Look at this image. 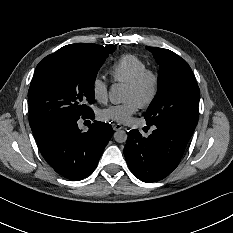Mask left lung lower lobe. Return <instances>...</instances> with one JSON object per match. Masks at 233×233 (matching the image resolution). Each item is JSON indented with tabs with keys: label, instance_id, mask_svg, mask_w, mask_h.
<instances>
[{
	"label": "left lung lower lobe",
	"instance_id": "1",
	"mask_svg": "<svg viewBox=\"0 0 233 233\" xmlns=\"http://www.w3.org/2000/svg\"><path fill=\"white\" fill-rule=\"evenodd\" d=\"M193 132L190 127L156 126L145 138L131 130L124 148L130 170L146 183L165 178L178 166Z\"/></svg>",
	"mask_w": 233,
	"mask_h": 233
}]
</instances>
